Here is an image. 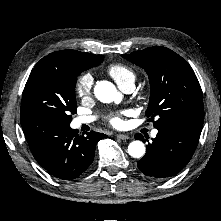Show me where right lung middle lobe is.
Listing matches in <instances>:
<instances>
[{
  "instance_id": "dd1d6c3e",
  "label": "right lung middle lobe",
  "mask_w": 221,
  "mask_h": 221,
  "mask_svg": "<svg viewBox=\"0 0 221 221\" xmlns=\"http://www.w3.org/2000/svg\"><path fill=\"white\" fill-rule=\"evenodd\" d=\"M89 68H82L76 75L56 68L33 69L22 94L21 118L43 117L70 124L71 114L77 110V76Z\"/></svg>"
}]
</instances>
